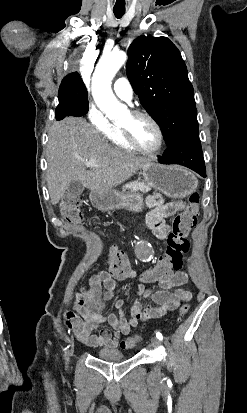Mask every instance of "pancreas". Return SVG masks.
I'll return each instance as SVG.
<instances>
[{"label":"pancreas","instance_id":"pancreas-1","mask_svg":"<svg viewBox=\"0 0 247 413\" xmlns=\"http://www.w3.org/2000/svg\"><path fill=\"white\" fill-rule=\"evenodd\" d=\"M124 190H132V192H135V190H141V192H148V190H151V184H147L145 180H133V182H127V184H124L123 186Z\"/></svg>","mask_w":247,"mask_h":413}]
</instances>
